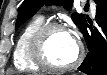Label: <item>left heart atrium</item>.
Here are the masks:
<instances>
[{
	"mask_svg": "<svg viewBox=\"0 0 107 75\" xmlns=\"http://www.w3.org/2000/svg\"><path fill=\"white\" fill-rule=\"evenodd\" d=\"M68 35L70 36L71 40L74 43H76V34H75V32L72 31V32L68 33Z\"/></svg>",
	"mask_w": 107,
	"mask_h": 75,
	"instance_id": "obj_1",
	"label": "left heart atrium"
}]
</instances>
